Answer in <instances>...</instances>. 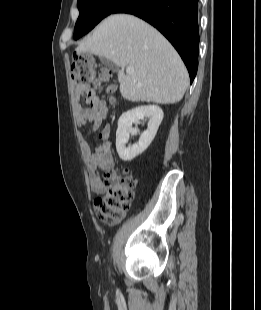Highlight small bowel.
Segmentation results:
<instances>
[{"label":"small bowel","mask_w":261,"mask_h":310,"mask_svg":"<svg viewBox=\"0 0 261 310\" xmlns=\"http://www.w3.org/2000/svg\"><path fill=\"white\" fill-rule=\"evenodd\" d=\"M76 98L83 97L89 107L80 105L76 108V120L80 126L89 124L87 135L96 131L104 121L107 109L105 102L97 95L96 91L88 85H76L74 87ZM111 127L105 126L98 134L101 140L92 150L85 140V134L80 135V145L85 159L91 189L96 194L105 192V186L100 178V171H110L114 167L112 144L109 140Z\"/></svg>","instance_id":"obj_1"}]
</instances>
